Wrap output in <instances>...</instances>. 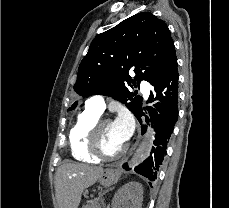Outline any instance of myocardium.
Returning <instances> with one entry per match:
<instances>
[{"mask_svg":"<svg viewBox=\"0 0 229 208\" xmlns=\"http://www.w3.org/2000/svg\"><path fill=\"white\" fill-rule=\"evenodd\" d=\"M113 123L109 119H97L93 124L91 125L89 129V140L91 143H89V148L85 149L86 153H93V158H108V159H117L125 155L128 151L129 144H125L120 150L117 152H101L100 147V139H103L101 135V127L104 124H111ZM107 153H110V156H107Z\"/></svg>","mask_w":229,"mask_h":208,"instance_id":"myocardium-1","label":"myocardium"}]
</instances>
